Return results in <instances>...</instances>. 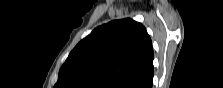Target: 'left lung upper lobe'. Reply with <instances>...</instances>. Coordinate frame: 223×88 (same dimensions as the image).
Instances as JSON below:
<instances>
[{"label": "left lung upper lobe", "instance_id": "obj_1", "mask_svg": "<svg viewBox=\"0 0 223 88\" xmlns=\"http://www.w3.org/2000/svg\"><path fill=\"white\" fill-rule=\"evenodd\" d=\"M151 39L131 19L111 21L77 44L54 88H133L153 71Z\"/></svg>", "mask_w": 223, "mask_h": 88}]
</instances>
